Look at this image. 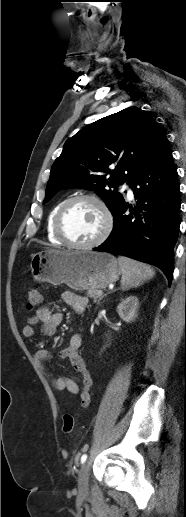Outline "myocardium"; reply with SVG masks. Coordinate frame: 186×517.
<instances>
[{
  "mask_svg": "<svg viewBox=\"0 0 186 517\" xmlns=\"http://www.w3.org/2000/svg\"><path fill=\"white\" fill-rule=\"evenodd\" d=\"M80 201H91V202L95 203L101 210L103 218H104V224H103V228H102L100 234L94 240H92L91 242H88V243H77V242L70 240L66 236L64 229H63V223H64V218L66 216V213L75 203L80 202ZM54 229H55V234L57 235V237L65 245H67L71 248H76V249H92V248H95V247L101 245L111 234L112 229H113V217H112V214H111L108 206L102 199H100L99 197H97L93 194H79V195L73 196L72 198L66 200L63 203V205L60 207V209L58 210L56 217H55Z\"/></svg>",
  "mask_w": 186,
  "mask_h": 517,
  "instance_id": "f54148a6",
  "label": "myocardium"
}]
</instances>
